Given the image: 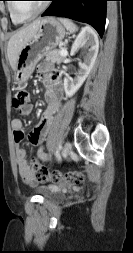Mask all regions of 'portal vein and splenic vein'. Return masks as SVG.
<instances>
[{"instance_id":"18ae733b","label":"portal vein and splenic vein","mask_w":133,"mask_h":253,"mask_svg":"<svg viewBox=\"0 0 133 253\" xmlns=\"http://www.w3.org/2000/svg\"><path fill=\"white\" fill-rule=\"evenodd\" d=\"M61 55L66 56L68 54L67 50L62 49L59 51Z\"/></svg>"}]
</instances>
